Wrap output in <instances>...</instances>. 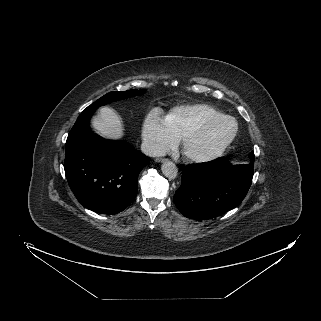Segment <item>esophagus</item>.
Instances as JSON below:
<instances>
[{
	"label": "esophagus",
	"instance_id": "esophagus-1",
	"mask_svg": "<svg viewBox=\"0 0 321 321\" xmlns=\"http://www.w3.org/2000/svg\"><path fill=\"white\" fill-rule=\"evenodd\" d=\"M165 161H167L166 158H156L155 159V162H158V163H162V162H165Z\"/></svg>",
	"mask_w": 321,
	"mask_h": 321
}]
</instances>
